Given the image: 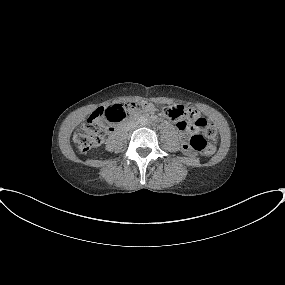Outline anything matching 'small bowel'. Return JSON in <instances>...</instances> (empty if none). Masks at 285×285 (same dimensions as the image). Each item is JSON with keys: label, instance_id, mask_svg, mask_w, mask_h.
<instances>
[{"label": "small bowel", "instance_id": "obj_1", "mask_svg": "<svg viewBox=\"0 0 285 285\" xmlns=\"http://www.w3.org/2000/svg\"><path fill=\"white\" fill-rule=\"evenodd\" d=\"M199 117H201V116L199 115L198 111L190 108L187 110V116H186L185 121L193 122L196 119H198Z\"/></svg>", "mask_w": 285, "mask_h": 285}]
</instances>
